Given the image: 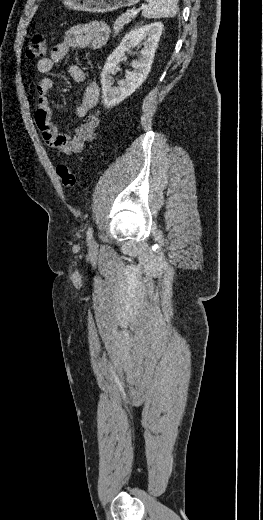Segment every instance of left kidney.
Here are the masks:
<instances>
[{
	"label": "left kidney",
	"mask_w": 263,
	"mask_h": 520,
	"mask_svg": "<svg viewBox=\"0 0 263 520\" xmlns=\"http://www.w3.org/2000/svg\"><path fill=\"white\" fill-rule=\"evenodd\" d=\"M163 30V24L155 22L135 28L127 33L119 46L108 57L101 73L102 98L106 108H111L130 96L147 78ZM143 46L140 58L131 66L134 71L127 72L125 79L112 87V75L117 73V66L127 51L135 46Z\"/></svg>",
	"instance_id": "left-kidney-1"
}]
</instances>
